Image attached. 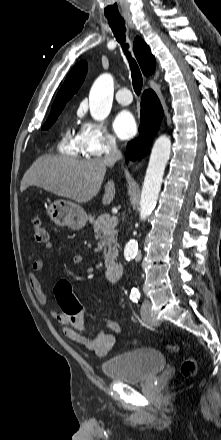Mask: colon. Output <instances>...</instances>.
<instances>
[{
    "mask_svg": "<svg viewBox=\"0 0 221 440\" xmlns=\"http://www.w3.org/2000/svg\"><path fill=\"white\" fill-rule=\"evenodd\" d=\"M32 231L34 233L35 239L40 243H48L50 238L46 227L39 218H34L31 224ZM55 296L58 300V306L61 315H69V319L72 321L77 320L78 315L84 318L86 315L87 319L96 321L98 324H102L104 329H113L121 337H126V332H124V325L120 320L116 318H110L108 315H100L98 312H93L87 314L83 309L82 303L77 297L73 296L72 287L69 281L60 280L54 288ZM123 331V332H122ZM168 349L173 352L179 350L176 345H169ZM180 373L184 377L193 376L196 373V363L192 357H187L183 360L180 366Z\"/></svg>",
    "mask_w": 221,
    "mask_h": 440,
    "instance_id": "1",
    "label": "colon"
}]
</instances>
